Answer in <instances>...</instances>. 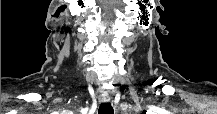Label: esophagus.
I'll use <instances>...</instances> for the list:
<instances>
[{
    "mask_svg": "<svg viewBox=\"0 0 217 114\" xmlns=\"http://www.w3.org/2000/svg\"><path fill=\"white\" fill-rule=\"evenodd\" d=\"M110 99H111L110 96L107 95V94H104V95L99 96V101H100L101 103L110 102Z\"/></svg>",
    "mask_w": 217,
    "mask_h": 114,
    "instance_id": "1",
    "label": "esophagus"
}]
</instances>
